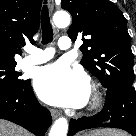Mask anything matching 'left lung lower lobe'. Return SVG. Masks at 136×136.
<instances>
[{
	"label": "left lung lower lobe",
	"instance_id": "left-lung-lower-lobe-1",
	"mask_svg": "<svg viewBox=\"0 0 136 136\" xmlns=\"http://www.w3.org/2000/svg\"><path fill=\"white\" fill-rule=\"evenodd\" d=\"M96 127L119 128L136 136V97L133 86L108 88L103 110L92 117L71 119L68 135Z\"/></svg>",
	"mask_w": 136,
	"mask_h": 136
}]
</instances>
